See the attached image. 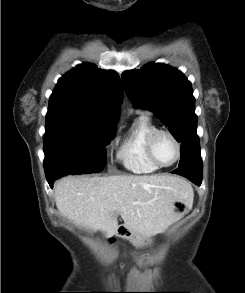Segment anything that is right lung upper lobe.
<instances>
[{
	"mask_svg": "<svg viewBox=\"0 0 245 293\" xmlns=\"http://www.w3.org/2000/svg\"><path fill=\"white\" fill-rule=\"evenodd\" d=\"M122 94L123 87L116 72L83 63L58 80L46 119L115 126Z\"/></svg>",
	"mask_w": 245,
	"mask_h": 293,
	"instance_id": "right-lung-upper-lobe-1",
	"label": "right lung upper lobe"
}]
</instances>
